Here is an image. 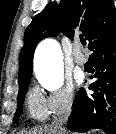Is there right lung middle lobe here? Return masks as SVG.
<instances>
[{
	"mask_svg": "<svg viewBox=\"0 0 116 134\" xmlns=\"http://www.w3.org/2000/svg\"><path fill=\"white\" fill-rule=\"evenodd\" d=\"M29 83L30 82H27L26 84H24L22 86V88L20 89V92L18 93L17 110H16V113L14 115V122H17L19 120L20 114H21L22 109H23V102H24L25 93L27 91V87L29 86Z\"/></svg>",
	"mask_w": 116,
	"mask_h": 134,
	"instance_id": "right-lung-middle-lobe-1",
	"label": "right lung middle lobe"
}]
</instances>
